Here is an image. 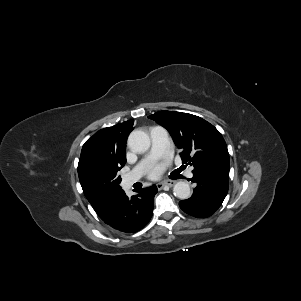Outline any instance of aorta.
<instances>
[{
	"label": "aorta",
	"mask_w": 301,
	"mask_h": 301,
	"mask_svg": "<svg viewBox=\"0 0 301 301\" xmlns=\"http://www.w3.org/2000/svg\"><path fill=\"white\" fill-rule=\"evenodd\" d=\"M128 145L134 152L143 153L150 147V138L144 131L134 130L129 135ZM173 193L179 199H188L191 196L190 186L187 182L179 181L174 185Z\"/></svg>",
	"instance_id": "aorta-1"
}]
</instances>
